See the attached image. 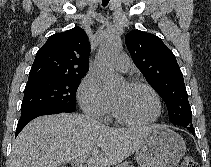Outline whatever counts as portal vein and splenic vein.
<instances>
[{"instance_id": "18ae733b", "label": "portal vein and splenic vein", "mask_w": 211, "mask_h": 167, "mask_svg": "<svg viewBox=\"0 0 211 167\" xmlns=\"http://www.w3.org/2000/svg\"><path fill=\"white\" fill-rule=\"evenodd\" d=\"M87 155L79 157L75 160L74 164L76 167H87L84 163L87 160Z\"/></svg>"}]
</instances>
